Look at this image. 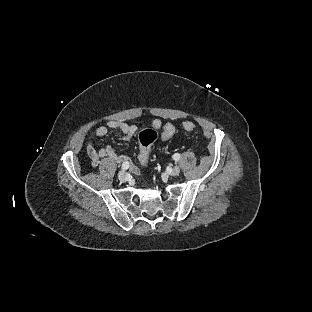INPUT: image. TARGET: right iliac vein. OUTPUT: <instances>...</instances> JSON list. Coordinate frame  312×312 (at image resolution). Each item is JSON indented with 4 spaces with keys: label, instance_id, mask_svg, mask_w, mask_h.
Listing matches in <instances>:
<instances>
[{
    "label": "right iliac vein",
    "instance_id": "obj_1",
    "mask_svg": "<svg viewBox=\"0 0 312 312\" xmlns=\"http://www.w3.org/2000/svg\"><path fill=\"white\" fill-rule=\"evenodd\" d=\"M118 179L121 181V182H126L128 180V177H127V174L124 172V171H120L118 173Z\"/></svg>",
    "mask_w": 312,
    "mask_h": 312
}]
</instances>
